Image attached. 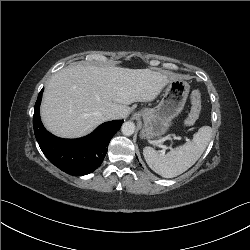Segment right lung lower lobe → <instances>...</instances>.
Returning a JSON list of instances; mask_svg holds the SVG:
<instances>
[{
	"mask_svg": "<svg viewBox=\"0 0 250 250\" xmlns=\"http://www.w3.org/2000/svg\"><path fill=\"white\" fill-rule=\"evenodd\" d=\"M42 93L43 89L35 104L33 127L44 155L60 170L73 176H83L95 171L102 164L109 141L120 129L123 120L105 122L80 139H62L49 133L42 125L39 114Z\"/></svg>",
	"mask_w": 250,
	"mask_h": 250,
	"instance_id": "1",
	"label": "right lung lower lobe"
}]
</instances>
